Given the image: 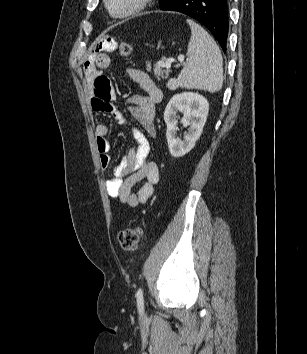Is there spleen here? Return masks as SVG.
I'll return each instance as SVG.
<instances>
[{
	"instance_id": "spleen-1",
	"label": "spleen",
	"mask_w": 307,
	"mask_h": 354,
	"mask_svg": "<svg viewBox=\"0 0 307 354\" xmlns=\"http://www.w3.org/2000/svg\"><path fill=\"white\" fill-rule=\"evenodd\" d=\"M191 28L186 64L177 79L168 87L217 92L223 85V59L214 39L197 23L187 20Z\"/></svg>"
}]
</instances>
